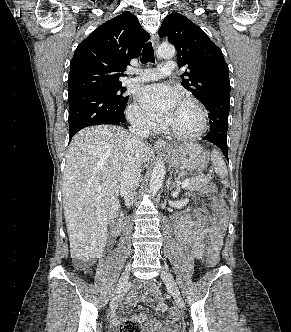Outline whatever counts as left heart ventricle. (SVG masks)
<instances>
[{
  "label": "left heart ventricle",
  "mask_w": 291,
  "mask_h": 332,
  "mask_svg": "<svg viewBox=\"0 0 291 332\" xmlns=\"http://www.w3.org/2000/svg\"><path fill=\"white\" fill-rule=\"evenodd\" d=\"M169 125L180 132H193L200 125V118L196 108L180 101L174 110L173 117Z\"/></svg>",
  "instance_id": "left-heart-ventricle-1"
}]
</instances>
